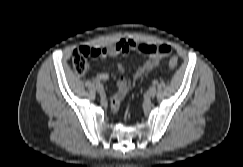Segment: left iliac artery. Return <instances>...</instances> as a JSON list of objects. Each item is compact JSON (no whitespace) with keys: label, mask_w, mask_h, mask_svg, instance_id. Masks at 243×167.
<instances>
[{"label":"left iliac artery","mask_w":243,"mask_h":167,"mask_svg":"<svg viewBox=\"0 0 243 167\" xmlns=\"http://www.w3.org/2000/svg\"><path fill=\"white\" fill-rule=\"evenodd\" d=\"M153 84L154 85L158 84V81L157 80H153Z\"/></svg>","instance_id":"left-iliac-artery-1"}]
</instances>
